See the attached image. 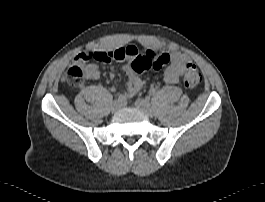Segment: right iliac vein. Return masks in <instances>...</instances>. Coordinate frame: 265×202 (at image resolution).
I'll use <instances>...</instances> for the list:
<instances>
[{"label":"right iliac vein","instance_id":"63e3f726","mask_svg":"<svg viewBox=\"0 0 265 202\" xmlns=\"http://www.w3.org/2000/svg\"><path fill=\"white\" fill-rule=\"evenodd\" d=\"M120 109V103L118 101H114L111 106L112 113H116Z\"/></svg>","mask_w":265,"mask_h":202}]
</instances>
